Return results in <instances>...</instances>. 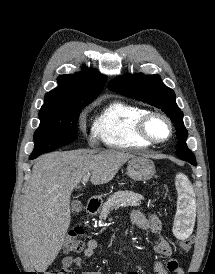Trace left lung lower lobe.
<instances>
[{
	"instance_id": "obj_1",
	"label": "left lung lower lobe",
	"mask_w": 215,
	"mask_h": 274,
	"mask_svg": "<svg viewBox=\"0 0 215 274\" xmlns=\"http://www.w3.org/2000/svg\"><path fill=\"white\" fill-rule=\"evenodd\" d=\"M189 163H191L192 165L196 166V162H189Z\"/></svg>"
}]
</instances>
